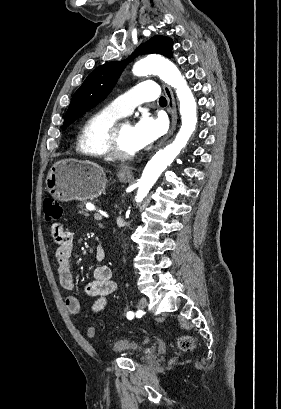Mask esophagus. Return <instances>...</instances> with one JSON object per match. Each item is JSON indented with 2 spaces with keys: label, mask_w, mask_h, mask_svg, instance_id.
I'll use <instances>...</instances> for the list:
<instances>
[{
  "label": "esophagus",
  "mask_w": 281,
  "mask_h": 409,
  "mask_svg": "<svg viewBox=\"0 0 281 409\" xmlns=\"http://www.w3.org/2000/svg\"><path fill=\"white\" fill-rule=\"evenodd\" d=\"M163 90H164V92H165V95H166V97H167V101H168V109H169V112H170V114H171V117H172V123H171V127H170V130H169V132H168V135L165 137V139L163 140V142L165 141V140H167V138L168 137H170V135H172L173 134V132H174V130H175V128H176V123H177V111H176V103H175V99H174V95H173V92H172V90H171V88L170 87H168V85H163ZM162 142V143H163ZM161 143V144H162ZM160 144V145H161ZM123 171L124 172H127V173H131V171H132V167H125L124 169H123Z\"/></svg>",
  "instance_id": "obj_1"
}]
</instances>
